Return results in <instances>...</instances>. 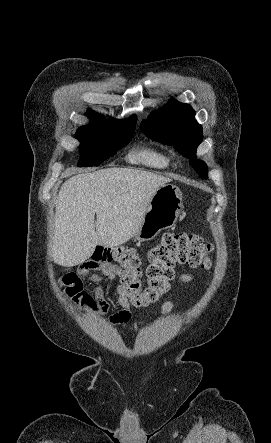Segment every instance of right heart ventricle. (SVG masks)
Returning a JSON list of instances; mask_svg holds the SVG:
<instances>
[{"mask_svg":"<svg viewBox=\"0 0 271 443\" xmlns=\"http://www.w3.org/2000/svg\"><path fill=\"white\" fill-rule=\"evenodd\" d=\"M128 160L152 169L167 170L173 165L174 156L164 147L143 145L129 153Z\"/></svg>","mask_w":271,"mask_h":443,"instance_id":"e07e8e85","label":"right heart ventricle"}]
</instances>
